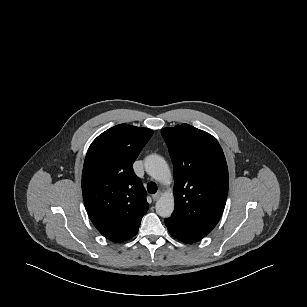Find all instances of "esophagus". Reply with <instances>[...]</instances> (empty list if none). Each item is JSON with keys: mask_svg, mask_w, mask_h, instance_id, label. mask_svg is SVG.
I'll return each instance as SVG.
<instances>
[{"mask_svg": "<svg viewBox=\"0 0 307 307\" xmlns=\"http://www.w3.org/2000/svg\"><path fill=\"white\" fill-rule=\"evenodd\" d=\"M160 196H161V192H158V193L152 195V199H153L154 201H157V200L160 198Z\"/></svg>", "mask_w": 307, "mask_h": 307, "instance_id": "obj_1", "label": "esophagus"}]
</instances>
